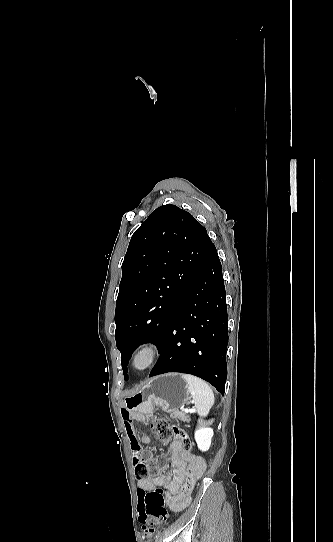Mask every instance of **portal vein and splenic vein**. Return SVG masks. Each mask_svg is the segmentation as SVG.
<instances>
[{"mask_svg": "<svg viewBox=\"0 0 333 542\" xmlns=\"http://www.w3.org/2000/svg\"><path fill=\"white\" fill-rule=\"evenodd\" d=\"M183 412H187V414H188V412H194V410H188V408H185V410H183Z\"/></svg>", "mask_w": 333, "mask_h": 542, "instance_id": "obj_1", "label": "portal vein and splenic vein"}]
</instances>
